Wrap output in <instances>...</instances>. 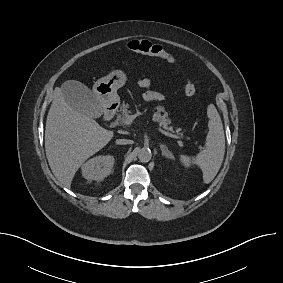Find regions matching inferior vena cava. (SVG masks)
Here are the masks:
<instances>
[{
	"mask_svg": "<svg viewBox=\"0 0 283 283\" xmlns=\"http://www.w3.org/2000/svg\"><path fill=\"white\" fill-rule=\"evenodd\" d=\"M117 144H121V145H126V144H131L132 141L131 140H127V139H118L116 141Z\"/></svg>",
	"mask_w": 283,
	"mask_h": 283,
	"instance_id": "602c4592",
	"label": "inferior vena cava"
}]
</instances>
